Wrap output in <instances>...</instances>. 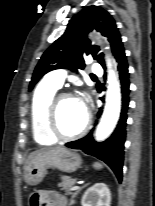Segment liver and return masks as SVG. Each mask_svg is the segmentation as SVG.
Listing matches in <instances>:
<instances>
[{"label": "liver", "instance_id": "6515ba94", "mask_svg": "<svg viewBox=\"0 0 155 206\" xmlns=\"http://www.w3.org/2000/svg\"><path fill=\"white\" fill-rule=\"evenodd\" d=\"M47 150H52V148H42V149H40V150H37V151L32 152V153L29 155V157H28V159H27V161H26L25 170H26V168H27L28 163L31 161V159L33 158V156H34L35 154H37V153H39V152H41V151H47Z\"/></svg>", "mask_w": 155, "mask_h": 206}]
</instances>
